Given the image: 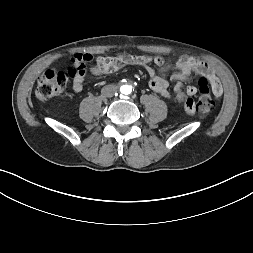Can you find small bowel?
Wrapping results in <instances>:
<instances>
[{
	"instance_id": "small-bowel-1",
	"label": "small bowel",
	"mask_w": 253,
	"mask_h": 253,
	"mask_svg": "<svg viewBox=\"0 0 253 253\" xmlns=\"http://www.w3.org/2000/svg\"><path fill=\"white\" fill-rule=\"evenodd\" d=\"M90 57L89 54H77L73 55L71 60L73 62H79L82 60L88 61ZM152 63L162 68L159 73L153 69L151 66ZM127 65L144 68L150 77L148 83L149 88L164 98L171 97L169 82L166 79V75L169 73L170 69L166 67V60L162 57H151L146 55L133 56L128 54H118L114 57L100 56L97 57L91 71L94 75L100 76L103 74L115 73ZM193 72L201 74L207 79L215 97L219 98L222 94V86L220 82L204 62L195 57L179 58L173 67L171 80L176 94L175 97L179 101L183 100V112L189 117L195 116L198 112L197 100L192 97L197 94L198 89L194 85H189L184 88L183 81L189 78ZM83 82L84 74L77 75L73 80V90L75 92H81L83 90Z\"/></svg>"
}]
</instances>
